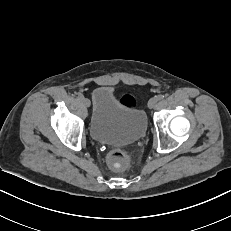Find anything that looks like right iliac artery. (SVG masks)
Listing matches in <instances>:
<instances>
[{"mask_svg":"<svg viewBox=\"0 0 231 231\" xmlns=\"http://www.w3.org/2000/svg\"><path fill=\"white\" fill-rule=\"evenodd\" d=\"M77 98L80 99V100H82V99L84 98V96H83V94L79 93V94L77 95Z\"/></svg>","mask_w":231,"mask_h":231,"instance_id":"1","label":"right iliac artery"}]
</instances>
